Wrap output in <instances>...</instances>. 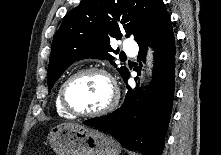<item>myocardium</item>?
<instances>
[{
    "mask_svg": "<svg viewBox=\"0 0 221 155\" xmlns=\"http://www.w3.org/2000/svg\"><path fill=\"white\" fill-rule=\"evenodd\" d=\"M99 74L103 76L107 82L109 83L110 89H111V96L108 103L101 108L100 110L94 111V112H78L74 110L67 101V89L72 81H74L76 78L85 75V74ZM60 103L63 109L69 113L73 117H80V118H95V117H101L104 115H107L111 111L115 109V107L118 104L119 101V89L117 86V83L113 76L105 69L101 67H86L82 68L76 72H74L72 75H70L61 85L60 93H59Z\"/></svg>",
    "mask_w": 221,
    "mask_h": 155,
    "instance_id": "1",
    "label": "myocardium"
}]
</instances>
